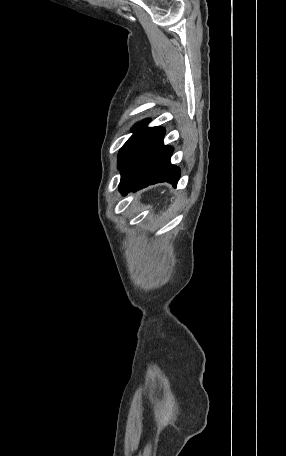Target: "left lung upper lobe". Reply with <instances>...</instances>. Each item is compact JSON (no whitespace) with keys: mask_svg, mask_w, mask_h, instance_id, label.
<instances>
[{"mask_svg":"<svg viewBox=\"0 0 286 456\" xmlns=\"http://www.w3.org/2000/svg\"><path fill=\"white\" fill-rule=\"evenodd\" d=\"M148 123V120H144L137 124L133 131L135 132L129 139L128 141L123 145V147L120 149L119 154H118V168L120 167L123 158L125 157L128 149L132 145V143L139 137V135L146 129V124Z\"/></svg>","mask_w":286,"mask_h":456,"instance_id":"left-lung-upper-lobe-1","label":"left lung upper lobe"}]
</instances>
